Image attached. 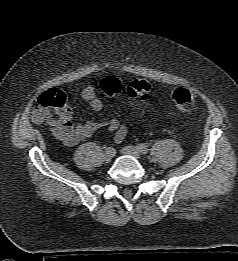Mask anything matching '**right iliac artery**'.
Masks as SVG:
<instances>
[{"label":"right iliac artery","instance_id":"right-iliac-artery-1","mask_svg":"<svg viewBox=\"0 0 238 261\" xmlns=\"http://www.w3.org/2000/svg\"><path fill=\"white\" fill-rule=\"evenodd\" d=\"M107 152L108 153H114L115 149L113 147H108Z\"/></svg>","mask_w":238,"mask_h":261}]
</instances>
